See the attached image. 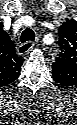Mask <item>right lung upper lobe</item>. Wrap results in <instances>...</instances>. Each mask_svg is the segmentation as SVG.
<instances>
[{
  "label": "right lung upper lobe",
  "mask_w": 77,
  "mask_h": 125,
  "mask_svg": "<svg viewBox=\"0 0 77 125\" xmlns=\"http://www.w3.org/2000/svg\"><path fill=\"white\" fill-rule=\"evenodd\" d=\"M23 60L16 54L8 34L0 29V85L6 86L20 74Z\"/></svg>",
  "instance_id": "right-lung-upper-lobe-1"
}]
</instances>
